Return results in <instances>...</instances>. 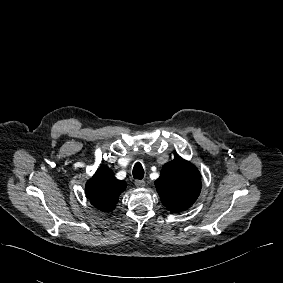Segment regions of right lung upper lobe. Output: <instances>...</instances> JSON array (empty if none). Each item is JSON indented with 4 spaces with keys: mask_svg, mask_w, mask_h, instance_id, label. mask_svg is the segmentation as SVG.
I'll list each match as a JSON object with an SVG mask.
<instances>
[{
    "mask_svg": "<svg viewBox=\"0 0 283 283\" xmlns=\"http://www.w3.org/2000/svg\"><path fill=\"white\" fill-rule=\"evenodd\" d=\"M125 188L126 182L117 180L109 167L101 166L87 181L85 191L86 197L95 208L103 212H111Z\"/></svg>",
    "mask_w": 283,
    "mask_h": 283,
    "instance_id": "1",
    "label": "right lung upper lobe"
}]
</instances>
